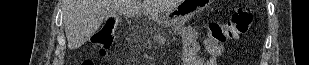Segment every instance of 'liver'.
<instances>
[{
  "label": "liver",
  "instance_id": "1",
  "mask_svg": "<svg viewBox=\"0 0 309 65\" xmlns=\"http://www.w3.org/2000/svg\"><path fill=\"white\" fill-rule=\"evenodd\" d=\"M180 0H63V22L70 49L81 47L113 11L135 17L156 15L175 7Z\"/></svg>",
  "mask_w": 309,
  "mask_h": 65
}]
</instances>
